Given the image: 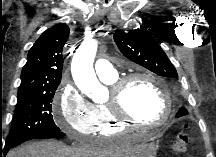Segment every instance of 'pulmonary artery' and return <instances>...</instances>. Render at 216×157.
Masks as SVG:
<instances>
[{
  "label": "pulmonary artery",
  "instance_id": "obj_1",
  "mask_svg": "<svg viewBox=\"0 0 216 157\" xmlns=\"http://www.w3.org/2000/svg\"><path fill=\"white\" fill-rule=\"evenodd\" d=\"M95 72L101 80H110L116 77V70L113 64L106 59H98L95 63Z\"/></svg>",
  "mask_w": 216,
  "mask_h": 157
}]
</instances>
